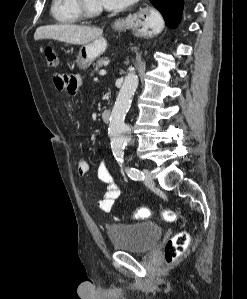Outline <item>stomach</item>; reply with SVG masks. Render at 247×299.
Returning a JSON list of instances; mask_svg holds the SVG:
<instances>
[{
  "label": "stomach",
  "instance_id": "0dacf381",
  "mask_svg": "<svg viewBox=\"0 0 247 299\" xmlns=\"http://www.w3.org/2000/svg\"><path fill=\"white\" fill-rule=\"evenodd\" d=\"M106 45V40L102 37L82 45L76 59L78 68L87 69L105 51Z\"/></svg>",
  "mask_w": 247,
  "mask_h": 299
}]
</instances>
